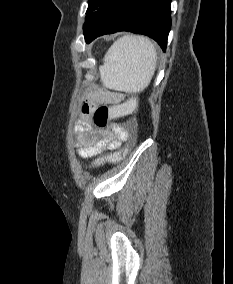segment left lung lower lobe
I'll list each match as a JSON object with an SVG mask.
<instances>
[{
	"instance_id": "obj_1",
	"label": "left lung lower lobe",
	"mask_w": 233,
	"mask_h": 284,
	"mask_svg": "<svg viewBox=\"0 0 233 284\" xmlns=\"http://www.w3.org/2000/svg\"><path fill=\"white\" fill-rule=\"evenodd\" d=\"M171 0H104L85 34L90 43L104 34L129 31L147 35L166 49L171 28Z\"/></svg>"
}]
</instances>
